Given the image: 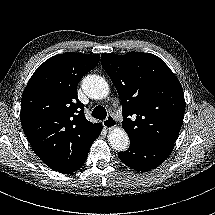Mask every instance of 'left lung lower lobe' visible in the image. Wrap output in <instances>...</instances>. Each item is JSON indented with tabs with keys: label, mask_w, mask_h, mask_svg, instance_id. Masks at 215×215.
I'll return each mask as SVG.
<instances>
[{
	"label": "left lung lower lobe",
	"mask_w": 215,
	"mask_h": 215,
	"mask_svg": "<svg viewBox=\"0 0 215 215\" xmlns=\"http://www.w3.org/2000/svg\"><path fill=\"white\" fill-rule=\"evenodd\" d=\"M174 143L145 144L130 141L129 149L120 152L121 161L136 171H149L164 162Z\"/></svg>",
	"instance_id": "obj_1"
}]
</instances>
